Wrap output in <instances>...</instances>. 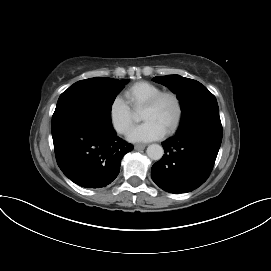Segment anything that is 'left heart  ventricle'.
Masks as SVG:
<instances>
[{"mask_svg":"<svg viewBox=\"0 0 271 271\" xmlns=\"http://www.w3.org/2000/svg\"><path fill=\"white\" fill-rule=\"evenodd\" d=\"M176 107L170 97L162 98L158 104L151 109H142L141 119L143 121L153 120L165 131L171 126L175 119Z\"/></svg>","mask_w":271,"mask_h":271,"instance_id":"b2bd125f","label":"left heart ventricle"}]
</instances>
